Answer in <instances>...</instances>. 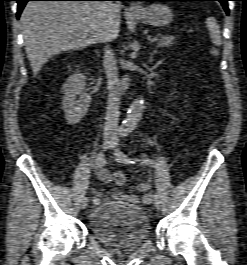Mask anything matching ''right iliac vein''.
Here are the masks:
<instances>
[{"label": "right iliac vein", "mask_w": 247, "mask_h": 265, "mask_svg": "<svg viewBox=\"0 0 247 265\" xmlns=\"http://www.w3.org/2000/svg\"><path fill=\"white\" fill-rule=\"evenodd\" d=\"M113 145V140L111 138H105L103 141V146L105 149L111 148ZM88 204V199L86 197H83V199L81 200V208L85 209L87 207Z\"/></svg>", "instance_id": "1"}]
</instances>
